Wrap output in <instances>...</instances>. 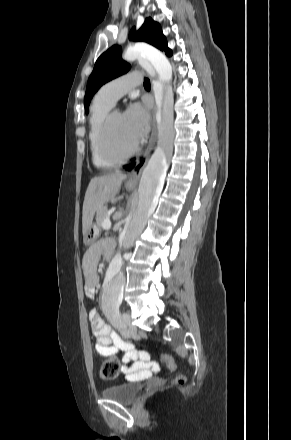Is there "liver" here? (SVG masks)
I'll use <instances>...</instances> for the list:
<instances>
[{
    "label": "liver",
    "mask_w": 291,
    "mask_h": 440,
    "mask_svg": "<svg viewBox=\"0 0 291 440\" xmlns=\"http://www.w3.org/2000/svg\"><path fill=\"white\" fill-rule=\"evenodd\" d=\"M124 179H126V174L122 172L108 173L91 179L83 202L82 229L84 235L92 225L95 212L117 195Z\"/></svg>",
    "instance_id": "6515ba94"
}]
</instances>
